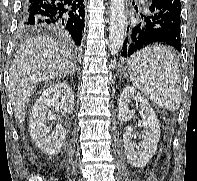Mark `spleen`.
Wrapping results in <instances>:
<instances>
[{
    "mask_svg": "<svg viewBox=\"0 0 197 181\" xmlns=\"http://www.w3.org/2000/svg\"><path fill=\"white\" fill-rule=\"evenodd\" d=\"M133 85L158 106L175 111L179 108L181 78L178 64L164 45L153 44L136 52L129 61Z\"/></svg>",
    "mask_w": 197,
    "mask_h": 181,
    "instance_id": "1",
    "label": "spleen"
}]
</instances>
